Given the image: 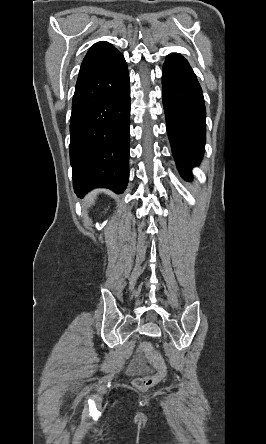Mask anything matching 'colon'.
Masks as SVG:
<instances>
[{
    "label": "colon",
    "mask_w": 266,
    "mask_h": 444,
    "mask_svg": "<svg viewBox=\"0 0 266 444\" xmlns=\"http://www.w3.org/2000/svg\"><path fill=\"white\" fill-rule=\"evenodd\" d=\"M141 352L145 354L147 359L155 367V372L153 374L136 378L134 380L135 387L141 390H146L161 381L166 374V365L161 354L152 343L144 342L141 345Z\"/></svg>",
    "instance_id": "obj_1"
}]
</instances>
